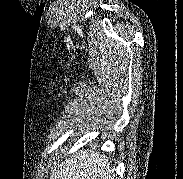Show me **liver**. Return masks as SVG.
Returning <instances> with one entry per match:
<instances>
[{
	"label": "liver",
	"instance_id": "liver-1",
	"mask_svg": "<svg viewBox=\"0 0 183 179\" xmlns=\"http://www.w3.org/2000/svg\"><path fill=\"white\" fill-rule=\"evenodd\" d=\"M108 161L106 155L93 150L65 154L51 179H116Z\"/></svg>",
	"mask_w": 183,
	"mask_h": 179
}]
</instances>
